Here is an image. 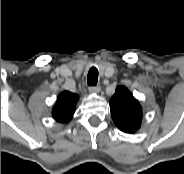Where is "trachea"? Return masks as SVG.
I'll use <instances>...</instances> for the list:
<instances>
[{"label":"trachea","mask_w":184,"mask_h":174,"mask_svg":"<svg viewBox=\"0 0 184 174\" xmlns=\"http://www.w3.org/2000/svg\"><path fill=\"white\" fill-rule=\"evenodd\" d=\"M98 82V70L95 67L90 68L87 76V83L89 86H96Z\"/></svg>","instance_id":"3493384b"}]
</instances>
